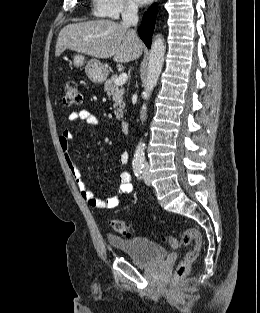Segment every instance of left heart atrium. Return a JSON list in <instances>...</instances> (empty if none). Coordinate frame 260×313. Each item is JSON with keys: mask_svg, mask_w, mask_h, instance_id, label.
Here are the masks:
<instances>
[{"mask_svg": "<svg viewBox=\"0 0 260 313\" xmlns=\"http://www.w3.org/2000/svg\"><path fill=\"white\" fill-rule=\"evenodd\" d=\"M137 3H139V4H142V5H144V4H147L149 1H151V0H135Z\"/></svg>", "mask_w": 260, "mask_h": 313, "instance_id": "obj_1", "label": "left heart atrium"}]
</instances>
